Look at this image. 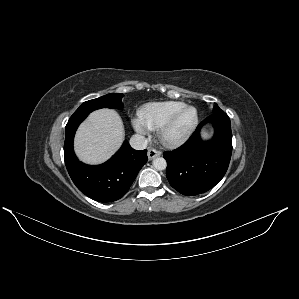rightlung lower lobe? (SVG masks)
I'll return each instance as SVG.
<instances>
[{"mask_svg": "<svg viewBox=\"0 0 299 299\" xmlns=\"http://www.w3.org/2000/svg\"><path fill=\"white\" fill-rule=\"evenodd\" d=\"M88 114L72 115L66 125L64 157L68 173L76 187L99 202L120 199L130 188L139 170L147 162V150H134L127 141L107 162L86 165L74 154L73 139L79 124Z\"/></svg>", "mask_w": 299, "mask_h": 299, "instance_id": "1", "label": "right lung lower lobe"}]
</instances>
